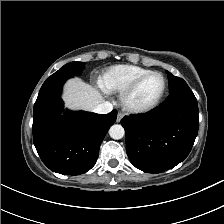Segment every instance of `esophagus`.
<instances>
[{
	"instance_id": "1",
	"label": "esophagus",
	"mask_w": 224,
	"mask_h": 224,
	"mask_svg": "<svg viewBox=\"0 0 224 224\" xmlns=\"http://www.w3.org/2000/svg\"><path fill=\"white\" fill-rule=\"evenodd\" d=\"M123 116H124V114L121 113V112H119V113L117 114V119H116V121H117V122H120V121L122 120Z\"/></svg>"
}]
</instances>
